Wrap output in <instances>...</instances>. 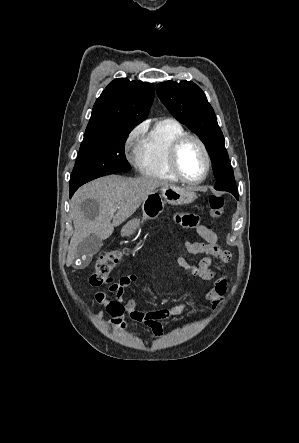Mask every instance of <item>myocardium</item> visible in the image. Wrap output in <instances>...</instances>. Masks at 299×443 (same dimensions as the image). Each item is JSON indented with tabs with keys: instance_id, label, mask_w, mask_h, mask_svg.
<instances>
[{
	"instance_id": "1",
	"label": "myocardium",
	"mask_w": 299,
	"mask_h": 443,
	"mask_svg": "<svg viewBox=\"0 0 299 443\" xmlns=\"http://www.w3.org/2000/svg\"><path fill=\"white\" fill-rule=\"evenodd\" d=\"M189 140H193L198 143V145L200 146V148L202 150L203 156H204V162H205L204 173L202 174L201 177H199L197 179H190V178L186 177L183 174V172L179 166L178 157H179L180 149ZM169 164H170V168H171L172 172L175 174V176L179 180H181L182 182L187 183V184L196 185V184L202 183L208 177L209 172H210V168H211V159H210L209 151H208L207 146L205 145L204 141L197 135L186 133V134H183L180 137H178L172 143L170 150H169Z\"/></svg>"
}]
</instances>
